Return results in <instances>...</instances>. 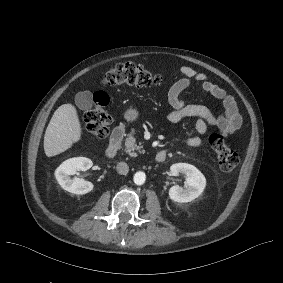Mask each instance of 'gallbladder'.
Wrapping results in <instances>:
<instances>
[{
    "mask_svg": "<svg viewBox=\"0 0 283 283\" xmlns=\"http://www.w3.org/2000/svg\"><path fill=\"white\" fill-rule=\"evenodd\" d=\"M92 93L90 91L79 92L75 96V103L81 110H88L92 107Z\"/></svg>",
    "mask_w": 283,
    "mask_h": 283,
    "instance_id": "gallbladder-1",
    "label": "gallbladder"
}]
</instances>
